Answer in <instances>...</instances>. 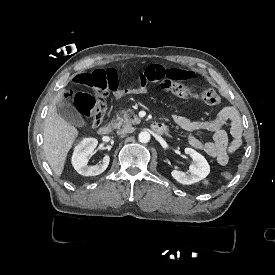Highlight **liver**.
Wrapping results in <instances>:
<instances>
[{"label":"liver","instance_id":"obj_1","mask_svg":"<svg viewBox=\"0 0 275 275\" xmlns=\"http://www.w3.org/2000/svg\"><path fill=\"white\" fill-rule=\"evenodd\" d=\"M68 93V88H62L58 92L49 106L44 121L43 151L51 169L58 177L62 176L67 155L80 135L79 130L65 121L57 109V104L66 101L65 95Z\"/></svg>","mask_w":275,"mask_h":275}]
</instances>
